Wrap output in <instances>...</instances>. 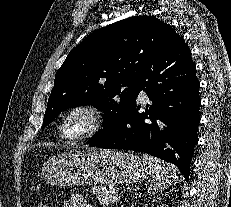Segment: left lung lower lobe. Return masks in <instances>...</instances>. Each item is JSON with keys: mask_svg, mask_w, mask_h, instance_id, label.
Listing matches in <instances>:
<instances>
[{"mask_svg": "<svg viewBox=\"0 0 231 207\" xmlns=\"http://www.w3.org/2000/svg\"><path fill=\"white\" fill-rule=\"evenodd\" d=\"M191 51L179 37L148 63L138 80L152 105L139 113L134 102L121 118L118 129L90 146L134 150L176 165L189 179L193 149L198 142L200 83Z\"/></svg>", "mask_w": 231, "mask_h": 207, "instance_id": "left-lung-lower-lobe-1", "label": "left lung lower lobe"}]
</instances>
